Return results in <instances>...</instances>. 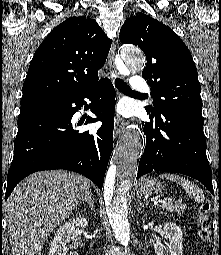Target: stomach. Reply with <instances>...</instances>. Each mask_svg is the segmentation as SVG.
Wrapping results in <instances>:
<instances>
[{
	"label": "stomach",
	"mask_w": 221,
	"mask_h": 255,
	"mask_svg": "<svg viewBox=\"0 0 221 255\" xmlns=\"http://www.w3.org/2000/svg\"><path fill=\"white\" fill-rule=\"evenodd\" d=\"M161 189L160 181L154 178H144L137 185V193L139 195L153 194Z\"/></svg>",
	"instance_id": "stomach-1"
}]
</instances>
